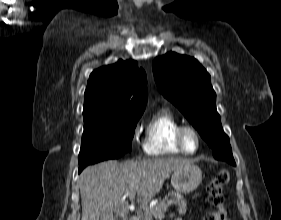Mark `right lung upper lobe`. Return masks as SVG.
I'll list each match as a JSON object with an SVG mask.
<instances>
[{
  "label": "right lung upper lobe",
  "mask_w": 281,
  "mask_h": 220,
  "mask_svg": "<svg viewBox=\"0 0 281 220\" xmlns=\"http://www.w3.org/2000/svg\"><path fill=\"white\" fill-rule=\"evenodd\" d=\"M147 102L146 74L136 61L119 60L94 70L85 90L83 116L118 118L142 115Z\"/></svg>",
  "instance_id": "obj_1"
}]
</instances>
